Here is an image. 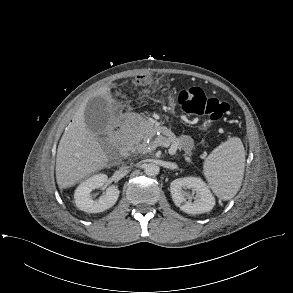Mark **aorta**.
Listing matches in <instances>:
<instances>
[{"label": "aorta", "instance_id": "762f6f07", "mask_svg": "<svg viewBox=\"0 0 293 293\" xmlns=\"http://www.w3.org/2000/svg\"><path fill=\"white\" fill-rule=\"evenodd\" d=\"M159 166L155 163L146 164L144 172L147 176H156L159 174Z\"/></svg>", "mask_w": 293, "mask_h": 293}]
</instances>
